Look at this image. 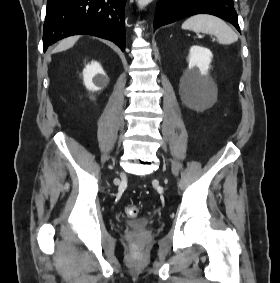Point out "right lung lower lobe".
I'll list each match as a JSON object with an SVG mask.
<instances>
[{
    "label": "right lung lower lobe",
    "mask_w": 280,
    "mask_h": 283,
    "mask_svg": "<svg viewBox=\"0 0 280 283\" xmlns=\"http://www.w3.org/2000/svg\"><path fill=\"white\" fill-rule=\"evenodd\" d=\"M126 0H47L43 49L65 37L89 34L110 40L125 50Z\"/></svg>",
    "instance_id": "obj_1"
}]
</instances>
